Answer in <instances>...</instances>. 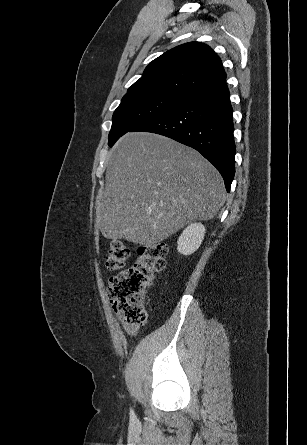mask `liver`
I'll return each instance as SVG.
<instances>
[{
  "instance_id": "6515ba94",
  "label": "liver",
  "mask_w": 307,
  "mask_h": 445,
  "mask_svg": "<svg viewBox=\"0 0 307 445\" xmlns=\"http://www.w3.org/2000/svg\"><path fill=\"white\" fill-rule=\"evenodd\" d=\"M224 182L200 152L154 132H127L114 148L96 200L105 239L143 247L210 220L225 202Z\"/></svg>"
}]
</instances>
